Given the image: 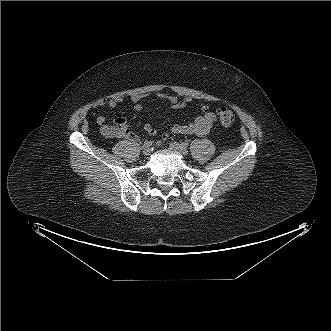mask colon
Instances as JSON below:
<instances>
[{"label":"colon","mask_w":331,"mask_h":331,"mask_svg":"<svg viewBox=\"0 0 331 331\" xmlns=\"http://www.w3.org/2000/svg\"><path fill=\"white\" fill-rule=\"evenodd\" d=\"M217 117L224 126H230L234 123L235 113L228 107L222 106L216 110Z\"/></svg>","instance_id":"5ec220e1"}]
</instances>
